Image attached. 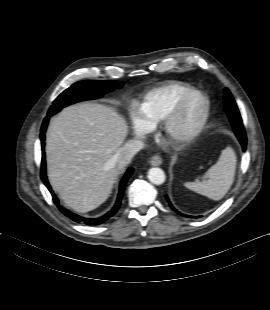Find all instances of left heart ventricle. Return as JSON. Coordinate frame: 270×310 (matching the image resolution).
I'll use <instances>...</instances> for the list:
<instances>
[{"label": "left heart ventricle", "instance_id": "left-heart-ventricle-1", "mask_svg": "<svg viewBox=\"0 0 270 310\" xmlns=\"http://www.w3.org/2000/svg\"><path fill=\"white\" fill-rule=\"evenodd\" d=\"M199 109V101L197 99L192 100L181 114L179 120L177 121L176 128L178 130H182L191 126L198 116Z\"/></svg>", "mask_w": 270, "mask_h": 310}]
</instances>
